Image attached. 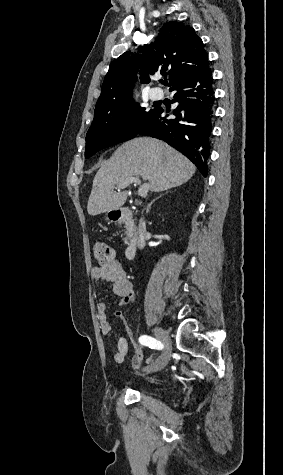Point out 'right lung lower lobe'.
<instances>
[{
  "label": "right lung lower lobe",
  "instance_id": "right-lung-lower-lobe-1",
  "mask_svg": "<svg viewBox=\"0 0 283 475\" xmlns=\"http://www.w3.org/2000/svg\"><path fill=\"white\" fill-rule=\"evenodd\" d=\"M211 69L191 75L169 90L174 91L176 116L169 119L168 110L157 107L155 115L139 133L164 140L187 156L207 175V159L210 155L209 140L214 119V89Z\"/></svg>",
  "mask_w": 283,
  "mask_h": 475
}]
</instances>
